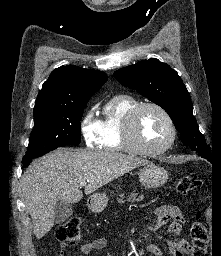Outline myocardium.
Returning <instances> with one entry per match:
<instances>
[{"mask_svg":"<svg viewBox=\"0 0 221 256\" xmlns=\"http://www.w3.org/2000/svg\"><path fill=\"white\" fill-rule=\"evenodd\" d=\"M154 108L158 110L166 119L170 135L168 141L159 148H149L141 141L138 132L139 116L145 108ZM124 138L126 142L136 151V153L146 156H158L167 152L175 143L177 138V129L171 114L160 104L152 101L141 102L136 105L128 114L125 127Z\"/></svg>","mask_w":221,"mask_h":256,"instance_id":"1","label":"myocardium"}]
</instances>
